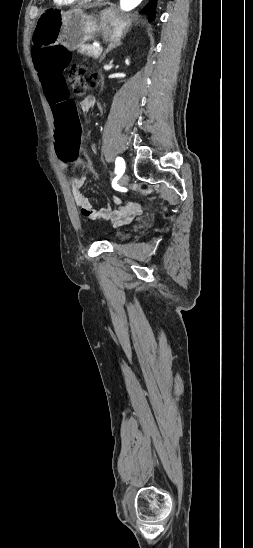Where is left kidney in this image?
I'll return each instance as SVG.
<instances>
[{"instance_id":"left-kidney-1","label":"left kidney","mask_w":253,"mask_h":548,"mask_svg":"<svg viewBox=\"0 0 253 548\" xmlns=\"http://www.w3.org/2000/svg\"><path fill=\"white\" fill-rule=\"evenodd\" d=\"M125 63H126V65H129L130 64L129 59H126Z\"/></svg>"}]
</instances>
